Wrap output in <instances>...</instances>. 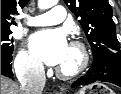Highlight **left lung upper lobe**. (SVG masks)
<instances>
[{"instance_id": "5c2ea615", "label": "left lung upper lobe", "mask_w": 121, "mask_h": 94, "mask_svg": "<svg viewBox=\"0 0 121 94\" xmlns=\"http://www.w3.org/2000/svg\"><path fill=\"white\" fill-rule=\"evenodd\" d=\"M68 8L80 18L94 59L121 56L116 37V26L112 19V8L108 0H64Z\"/></svg>"}]
</instances>
